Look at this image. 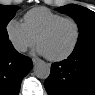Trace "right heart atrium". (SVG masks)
Masks as SVG:
<instances>
[{
	"instance_id": "right-heart-atrium-1",
	"label": "right heart atrium",
	"mask_w": 95,
	"mask_h": 95,
	"mask_svg": "<svg viewBox=\"0 0 95 95\" xmlns=\"http://www.w3.org/2000/svg\"><path fill=\"white\" fill-rule=\"evenodd\" d=\"M5 29L8 40L15 50L20 53L26 52L36 43V39L28 32L24 23L16 19H11L6 24Z\"/></svg>"
}]
</instances>
